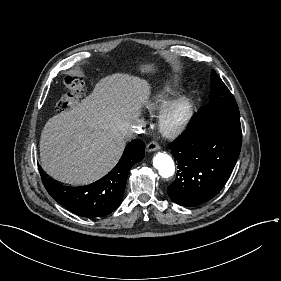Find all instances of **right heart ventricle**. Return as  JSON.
<instances>
[{
  "mask_svg": "<svg viewBox=\"0 0 281 281\" xmlns=\"http://www.w3.org/2000/svg\"><path fill=\"white\" fill-rule=\"evenodd\" d=\"M175 95L176 92L170 90L169 88H165L152 94L151 96L145 97L141 100V104L143 108L149 111H156L168 103Z\"/></svg>",
  "mask_w": 281,
  "mask_h": 281,
  "instance_id": "obj_1",
  "label": "right heart ventricle"
}]
</instances>
